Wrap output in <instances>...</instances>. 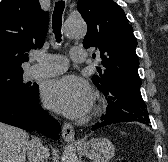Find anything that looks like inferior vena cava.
I'll return each instance as SVG.
<instances>
[{
  "instance_id": "602c4592",
  "label": "inferior vena cava",
  "mask_w": 168,
  "mask_h": 162,
  "mask_svg": "<svg viewBox=\"0 0 168 162\" xmlns=\"http://www.w3.org/2000/svg\"><path fill=\"white\" fill-rule=\"evenodd\" d=\"M27 155L29 162H44V158L48 155V149L42 145L39 139H32Z\"/></svg>"
}]
</instances>
